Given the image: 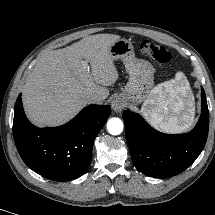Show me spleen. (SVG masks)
Masks as SVG:
<instances>
[{
	"label": "spleen",
	"instance_id": "1",
	"mask_svg": "<svg viewBox=\"0 0 215 215\" xmlns=\"http://www.w3.org/2000/svg\"><path fill=\"white\" fill-rule=\"evenodd\" d=\"M193 95L182 72L175 79L163 82L152 89L141 113L155 128L178 133L189 129L193 122Z\"/></svg>",
	"mask_w": 215,
	"mask_h": 215
}]
</instances>
